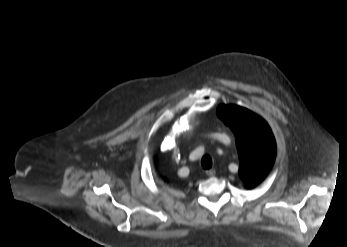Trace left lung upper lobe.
I'll return each mask as SVG.
<instances>
[{"label": "left lung upper lobe", "mask_w": 347, "mask_h": 247, "mask_svg": "<svg viewBox=\"0 0 347 247\" xmlns=\"http://www.w3.org/2000/svg\"><path fill=\"white\" fill-rule=\"evenodd\" d=\"M218 117L236 137L240 160L239 175L248 189L257 186L269 173L276 156V142L266 121L236 105H220Z\"/></svg>", "instance_id": "obj_1"}]
</instances>
